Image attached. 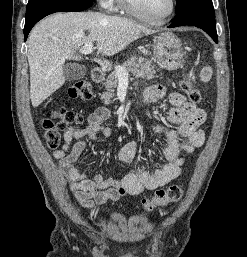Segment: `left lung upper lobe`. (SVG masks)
Listing matches in <instances>:
<instances>
[{
    "label": "left lung upper lobe",
    "instance_id": "left-lung-upper-lobe-1",
    "mask_svg": "<svg viewBox=\"0 0 247 257\" xmlns=\"http://www.w3.org/2000/svg\"><path fill=\"white\" fill-rule=\"evenodd\" d=\"M176 2H177L176 13L187 7H190L196 4L213 5L212 0H176Z\"/></svg>",
    "mask_w": 247,
    "mask_h": 257
}]
</instances>
